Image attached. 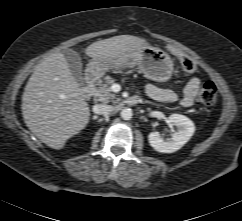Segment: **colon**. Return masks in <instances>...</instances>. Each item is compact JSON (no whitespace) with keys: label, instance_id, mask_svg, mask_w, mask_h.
Listing matches in <instances>:
<instances>
[{"label":"colon","instance_id":"1","mask_svg":"<svg viewBox=\"0 0 242 221\" xmlns=\"http://www.w3.org/2000/svg\"><path fill=\"white\" fill-rule=\"evenodd\" d=\"M169 51L177 58L184 72L192 74L196 71V64L190 56L173 47H170ZM216 99V85L211 81L204 83L200 88L198 94V101L200 102V104H202L205 107H210L215 104Z\"/></svg>","mask_w":242,"mask_h":221}]
</instances>
